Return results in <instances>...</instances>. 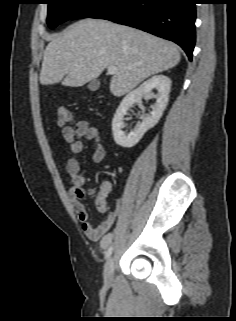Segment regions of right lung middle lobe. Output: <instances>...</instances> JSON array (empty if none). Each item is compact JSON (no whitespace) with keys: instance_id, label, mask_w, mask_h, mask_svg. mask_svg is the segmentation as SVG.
<instances>
[{"instance_id":"right-lung-middle-lobe-1","label":"right lung middle lobe","mask_w":236,"mask_h":321,"mask_svg":"<svg viewBox=\"0 0 236 321\" xmlns=\"http://www.w3.org/2000/svg\"><path fill=\"white\" fill-rule=\"evenodd\" d=\"M111 0H46L50 28L70 19L86 18L104 8Z\"/></svg>"}]
</instances>
